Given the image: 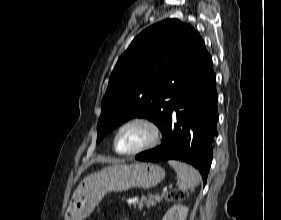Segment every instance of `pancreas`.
I'll return each instance as SVG.
<instances>
[{
	"label": "pancreas",
	"instance_id": "obj_1",
	"mask_svg": "<svg viewBox=\"0 0 281 220\" xmlns=\"http://www.w3.org/2000/svg\"><path fill=\"white\" fill-rule=\"evenodd\" d=\"M168 197V193L167 192H163L162 194H150L147 197L143 196L141 199L135 201L133 203V206L136 207L138 206L139 209H142L143 206L145 205L146 207H151L156 205L157 202H160L162 199H167ZM131 206V204H129V207Z\"/></svg>",
	"mask_w": 281,
	"mask_h": 220
}]
</instances>
